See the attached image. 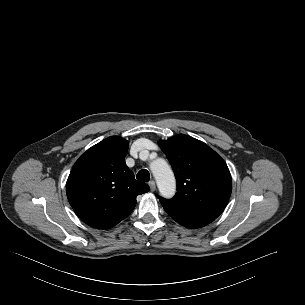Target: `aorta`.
I'll use <instances>...</instances> for the list:
<instances>
[{
  "label": "aorta",
  "instance_id": "762f6f07",
  "mask_svg": "<svg viewBox=\"0 0 305 305\" xmlns=\"http://www.w3.org/2000/svg\"><path fill=\"white\" fill-rule=\"evenodd\" d=\"M151 170L160 193L164 197H172L175 194L176 183L174 174L167 162L163 159H157L151 164Z\"/></svg>",
  "mask_w": 305,
  "mask_h": 305
}]
</instances>
